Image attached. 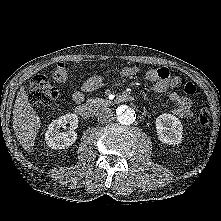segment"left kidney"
Here are the masks:
<instances>
[{"label":"left kidney","mask_w":221,"mask_h":221,"mask_svg":"<svg viewBox=\"0 0 221 221\" xmlns=\"http://www.w3.org/2000/svg\"><path fill=\"white\" fill-rule=\"evenodd\" d=\"M158 139L168 145H178L182 141L183 126L172 114L164 113L156 118Z\"/></svg>","instance_id":"left-kidney-1"}]
</instances>
